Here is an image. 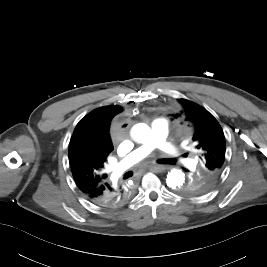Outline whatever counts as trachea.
I'll return each instance as SVG.
<instances>
[{
	"mask_svg": "<svg viewBox=\"0 0 267 267\" xmlns=\"http://www.w3.org/2000/svg\"><path fill=\"white\" fill-rule=\"evenodd\" d=\"M176 162V160L174 159H162L160 160V163H163V164H174Z\"/></svg>",
	"mask_w": 267,
	"mask_h": 267,
	"instance_id": "obj_1",
	"label": "trachea"
}]
</instances>
